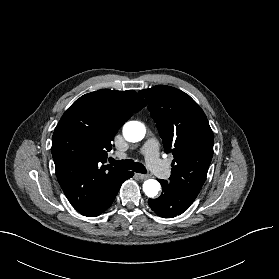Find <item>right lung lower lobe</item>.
I'll return each instance as SVG.
<instances>
[{"label": "right lung lower lobe", "mask_w": 279, "mask_h": 279, "mask_svg": "<svg viewBox=\"0 0 279 279\" xmlns=\"http://www.w3.org/2000/svg\"><path fill=\"white\" fill-rule=\"evenodd\" d=\"M134 175L133 172L131 171H125L121 176H119L118 178H116L114 181H112L111 183H109L106 187V189L104 190L101 198L99 199V201L96 203V205L86 211L83 212H79L84 216H88V217H94V216H98L101 213H103L105 210H107L112 202L114 201L121 184L126 180L131 178Z\"/></svg>", "instance_id": "1"}]
</instances>
